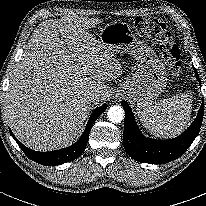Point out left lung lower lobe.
<instances>
[{
	"instance_id": "obj_1",
	"label": "left lung lower lobe",
	"mask_w": 206,
	"mask_h": 206,
	"mask_svg": "<svg viewBox=\"0 0 206 206\" xmlns=\"http://www.w3.org/2000/svg\"><path fill=\"white\" fill-rule=\"evenodd\" d=\"M195 75L201 84L196 69ZM121 105L126 113L123 134L125 151L134 160L150 164H164L180 157L197 137L204 113L202 103L195 121L183 134L169 140H154L142 136L128 103L122 101Z\"/></svg>"
}]
</instances>
